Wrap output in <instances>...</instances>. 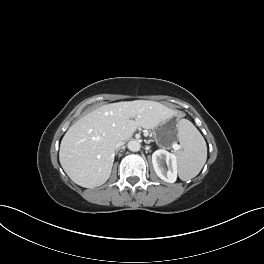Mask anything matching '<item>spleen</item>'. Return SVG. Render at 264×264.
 <instances>
[{
	"mask_svg": "<svg viewBox=\"0 0 264 264\" xmlns=\"http://www.w3.org/2000/svg\"><path fill=\"white\" fill-rule=\"evenodd\" d=\"M178 139L182 150L177 153L178 175L183 181L199 174L207 159L206 142L198 129L187 119L178 124Z\"/></svg>",
	"mask_w": 264,
	"mask_h": 264,
	"instance_id": "obj_1",
	"label": "spleen"
}]
</instances>
